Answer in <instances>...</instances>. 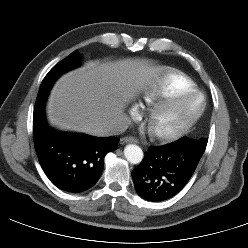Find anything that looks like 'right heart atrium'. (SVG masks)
I'll use <instances>...</instances> for the list:
<instances>
[{
	"instance_id": "right-heart-atrium-1",
	"label": "right heart atrium",
	"mask_w": 248,
	"mask_h": 248,
	"mask_svg": "<svg viewBox=\"0 0 248 248\" xmlns=\"http://www.w3.org/2000/svg\"><path fill=\"white\" fill-rule=\"evenodd\" d=\"M137 112H138V107L135 106V105H133V106L130 108V113H131L132 115H136Z\"/></svg>"
}]
</instances>
